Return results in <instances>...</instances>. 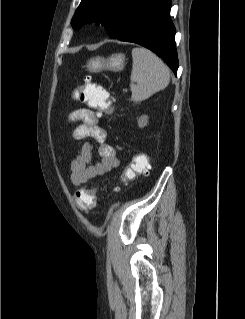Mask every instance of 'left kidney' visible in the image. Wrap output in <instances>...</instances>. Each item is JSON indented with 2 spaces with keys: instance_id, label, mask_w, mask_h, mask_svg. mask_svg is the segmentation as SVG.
<instances>
[{
  "instance_id": "1",
  "label": "left kidney",
  "mask_w": 245,
  "mask_h": 319,
  "mask_svg": "<svg viewBox=\"0 0 245 319\" xmlns=\"http://www.w3.org/2000/svg\"><path fill=\"white\" fill-rule=\"evenodd\" d=\"M148 124V117L146 115L141 116L138 119V126L144 128Z\"/></svg>"
}]
</instances>
